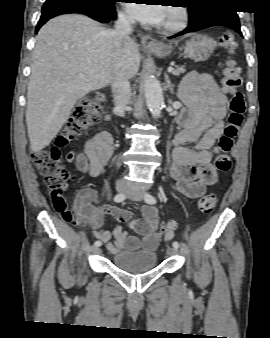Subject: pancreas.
I'll list each match as a JSON object with an SVG mask.
<instances>
[{
	"label": "pancreas",
	"mask_w": 270,
	"mask_h": 338,
	"mask_svg": "<svg viewBox=\"0 0 270 338\" xmlns=\"http://www.w3.org/2000/svg\"><path fill=\"white\" fill-rule=\"evenodd\" d=\"M184 72H185L184 66L176 67V69L172 71V75L179 76L181 73H184Z\"/></svg>",
	"instance_id": "pancreas-1"
}]
</instances>
